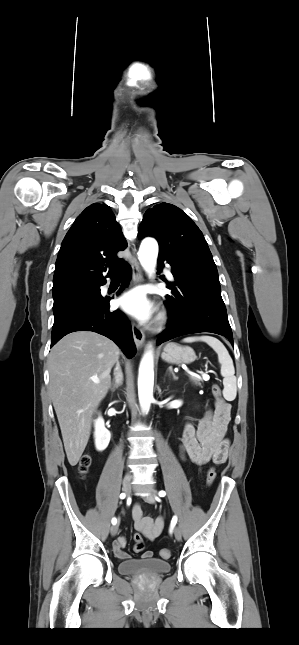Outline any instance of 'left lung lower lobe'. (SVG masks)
Returning <instances> with one entry per match:
<instances>
[{"mask_svg": "<svg viewBox=\"0 0 299 645\" xmlns=\"http://www.w3.org/2000/svg\"><path fill=\"white\" fill-rule=\"evenodd\" d=\"M172 266L175 282L168 284L173 296H166L169 327L161 333L157 345L178 336L211 332L226 337L233 345L232 330L221 297L218 272L183 261H165Z\"/></svg>", "mask_w": 299, "mask_h": 645, "instance_id": "obj_1", "label": "left lung lower lobe"}]
</instances>
